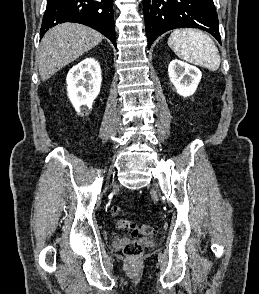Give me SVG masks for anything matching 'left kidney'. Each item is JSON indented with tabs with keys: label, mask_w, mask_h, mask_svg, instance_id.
<instances>
[{
	"label": "left kidney",
	"mask_w": 259,
	"mask_h": 294,
	"mask_svg": "<svg viewBox=\"0 0 259 294\" xmlns=\"http://www.w3.org/2000/svg\"><path fill=\"white\" fill-rule=\"evenodd\" d=\"M168 74L176 92L183 97L194 94L202 76L201 71L197 67L178 59L170 62Z\"/></svg>",
	"instance_id": "left-kidney-1"
}]
</instances>
